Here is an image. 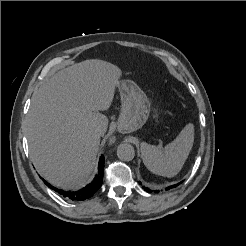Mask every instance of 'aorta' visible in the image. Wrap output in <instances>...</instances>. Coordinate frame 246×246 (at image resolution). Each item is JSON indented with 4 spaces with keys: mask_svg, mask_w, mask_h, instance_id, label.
<instances>
[{
    "mask_svg": "<svg viewBox=\"0 0 246 246\" xmlns=\"http://www.w3.org/2000/svg\"><path fill=\"white\" fill-rule=\"evenodd\" d=\"M117 156L120 160L131 161L135 156L134 147L129 143H122L117 148Z\"/></svg>",
    "mask_w": 246,
    "mask_h": 246,
    "instance_id": "aorta-1",
    "label": "aorta"
}]
</instances>
